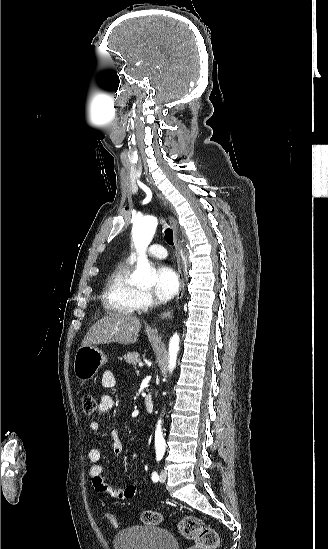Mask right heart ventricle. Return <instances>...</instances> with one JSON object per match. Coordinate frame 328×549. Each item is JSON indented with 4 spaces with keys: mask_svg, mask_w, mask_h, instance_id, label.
I'll return each instance as SVG.
<instances>
[{
    "mask_svg": "<svg viewBox=\"0 0 328 549\" xmlns=\"http://www.w3.org/2000/svg\"><path fill=\"white\" fill-rule=\"evenodd\" d=\"M132 262L127 258L118 265L106 283L102 305L108 319H138L139 311L147 307L143 290L131 282Z\"/></svg>",
    "mask_w": 328,
    "mask_h": 549,
    "instance_id": "e07e8e85",
    "label": "right heart ventricle"
}]
</instances>
